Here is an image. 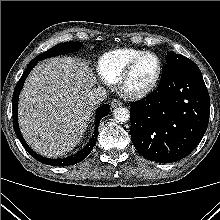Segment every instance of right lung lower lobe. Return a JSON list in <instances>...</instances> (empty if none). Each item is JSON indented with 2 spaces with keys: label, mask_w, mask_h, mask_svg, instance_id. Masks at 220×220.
<instances>
[{
  "label": "right lung lower lobe",
  "mask_w": 220,
  "mask_h": 220,
  "mask_svg": "<svg viewBox=\"0 0 220 220\" xmlns=\"http://www.w3.org/2000/svg\"><path fill=\"white\" fill-rule=\"evenodd\" d=\"M36 64H37V62L34 60H31L29 62L28 67L26 68V70L22 74L20 80L18 81V83L15 87L14 93H13V100H12L13 127L15 130V133H16L17 137L19 138L20 142L22 143V145L24 146V148L26 149V151L31 156H33L36 160H38L44 164L52 165V166H67V165H73V164L79 163L89 155V153L92 151L93 147L95 146L96 137L98 135V133H97L98 128L97 127L99 125V121L101 120V118H103L104 116H106L109 113L110 106L108 104H104L97 110L94 136L92 137V139L90 140V142L86 145V147L84 149H82L81 151H79L75 155H72V156H69V157L63 158V159H49V158H45V157L38 155L36 152H34L27 145V143L23 139V136L21 135V132L19 129L18 118H17L18 98H19L20 91L22 89V86L25 82L26 77L28 76L29 72Z\"/></svg>",
  "instance_id": "obj_1"
}]
</instances>
